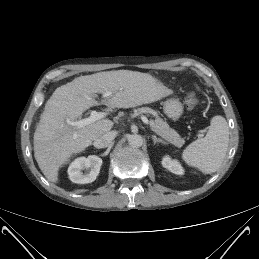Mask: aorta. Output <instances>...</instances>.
<instances>
[{"label":"aorta","mask_w":259,"mask_h":259,"mask_svg":"<svg viewBox=\"0 0 259 259\" xmlns=\"http://www.w3.org/2000/svg\"><path fill=\"white\" fill-rule=\"evenodd\" d=\"M128 143L131 147L139 148L143 144V138L141 135L133 134L128 137Z\"/></svg>","instance_id":"obj_1"}]
</instances>
